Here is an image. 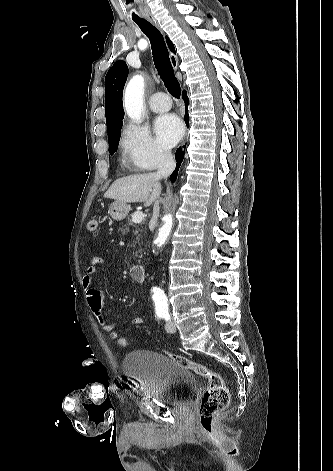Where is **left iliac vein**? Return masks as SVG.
<instances>
[{
  "instance_id": "4c4485c4",
  "label": "left iliac vein",
  "mask_w": 333,
  "mask_h": 471,
  "mask_svg": "<svg viewBox=\"0 0 333 471\" xmlns=\"http://www.w3.org/2000/svg\"><path fill=\"white\" fill-rule=\"evenodd\" d=\"M165 329L169 333H174L176 331V324L173 321L169 320L165 325Z\"/></svg>"
}]
</instances>
